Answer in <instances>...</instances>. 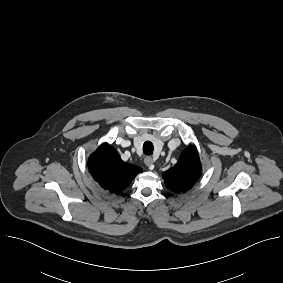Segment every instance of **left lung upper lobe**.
<instances>
[{"label": "left lung upper lobe", "instance_id": "1", "mask_svg": "<svg viewBox=\"0 0 283 283\" xmlns=\"http://www.w3.org/2000/svg\"><path fill=\"white\" fill-rule=\"evenodd\" d=\"M199 155L194 146L189 147L179 157L177 164L163 173L165 185L174 193L186 192L201 175Z\"/></svg>", "mask_w": 283, "mask_h": 283}]
</instances>
